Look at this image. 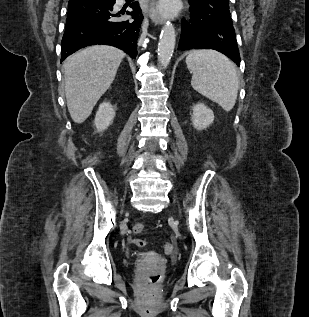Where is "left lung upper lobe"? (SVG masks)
Wrapping results in <instances>:
<instances>
[{"label": "left lung upper lobe", "mask_w": 309, "mask_h": 317, "mask_svg": "<svg viewBox=\"0 0 309 317\" xmlns=\"http://www.w3.org/2000/svg\"><path fill=\"white\" fill-rule=\"evenodd\" d=\"M228 2L229 0H189L191 9L232 21Z\"/></svg>", "instance_id": "5c2ea615"}]
</instances>
